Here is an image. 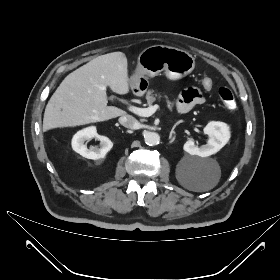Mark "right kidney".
<instances>
[{
	"label": "right kidney",
	"instance_id": "obj_1",
	"mask_svg": "<svg viewBox=\"0 0 280 280\" xmlns=\"http://www.w3.org/2000/svg\"><path fill=\"white\" fill-rule=\"evenodd\" d=\"M92 138H96L100 141L99 147L92 146L88 149L84 143ZM112 147V141L106 136L98 135L96 127L94 126L78 131L72 138L73 150L88 159H103Z\"/></svg>",
	"mask_w": 280,
	"mask_h": 280
}]
</instances>
